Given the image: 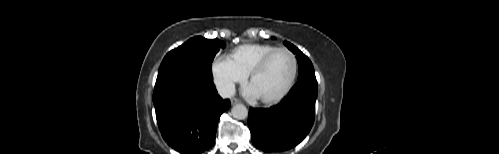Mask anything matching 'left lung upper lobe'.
Wrapping results in <instances>:
<instances>
[{"instance_id": "1", "label": "left lung upper lobe", "mask_w": 499, "mask_h": 154, "mask_svg": "<svg viewBox=\"0 0 499 154\" xmlns=\"http://www.w3.org/2000/svg\"><path fill=\"white\" fill-rule=\"evenodd\" d=\"M285 46L288 47L294 54H296V58L299 65V76L298 80L302 79H313L316 80L314 67L307 56H305L297 47L293 44L284 41Z\"/></svg>"}]
</instances>
